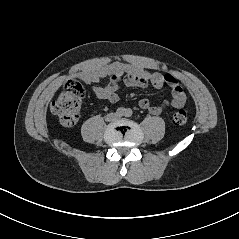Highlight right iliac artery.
I'll list each match as a JSON object with an SVG mask.
<instances>
[{
  "instance_id": "82829eb1",
  "label": "right iliac artery",
  "mask_w": 239,
  "mask_h": 239,
  "mask_svg": "<svg viewBox=\"0 0 239 239\" xmlns=\"http://www.w3.org/2000/svg\"><path fill=\"white\" fill-rule=\"evenodd\" d=\"M116 114H117L118 116H123V115L125 114V109L122 108V107L118 108V109L116 110Z\"/></svg>"
}]
</instances>
